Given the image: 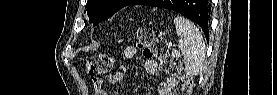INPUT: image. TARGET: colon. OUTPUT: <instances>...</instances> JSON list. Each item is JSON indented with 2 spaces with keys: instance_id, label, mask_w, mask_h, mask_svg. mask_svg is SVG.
Segmentation results:
<instances>
[{
  "instance_id": "5ec220e1",
  "label": "colon",
  "mask_w": 277,
  "mask_h": 95,
  "mask_svg": "<svg viewBox=\"0 0 277 95\" xmlns=\"http://www.w3.org/2000/svg\"><path fill=\"white\" fill-rule=\"evenodd\" d=\"M137 45L148 57L157 59L162 69L174 75L182 81V85L176 94L188 95L194 86V78L184 68L182 63L177 60L169 51L167 41L156 36L150 29L140 27L136 32ZM112 59L106 54H96L88 58L85 70L93 78L108 73L112 68Z\"/></svg>"
}]
</instances>
